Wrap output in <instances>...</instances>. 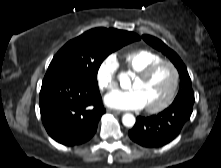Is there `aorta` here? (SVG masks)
<instances>
[{"label": "aorta", "instance_id": "762f6f07", "mask_svg": "<svg viewBox=\"0 0 221 168\" xmlns=\"http://www.w3.org/2000/svg\"><path fill=\"white\" fill-rule=\"evenodd\" d=\"M122 123L126 127H132L135 124V117L134 115L127 113L122 117Z\"/></svg>", "mask_w": 221, "mask_h": 168}]
</instances>
